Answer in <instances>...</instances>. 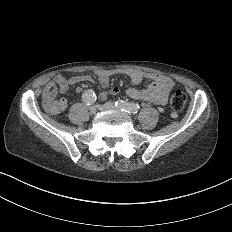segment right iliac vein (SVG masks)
<instances>
[{"mask_svg":"<svg viewBox=\"0 0 232 232\" xmlns=\"http://www.w3.org/2000/svg\"><path fill=\"white\" fill-rule=\"evenodd\" d=\"M90 113L91 114H96L97 113V108L96 107H91L90 108Z\"/></svg>","mask_w":232,"mask_h":232,"instance_id":"right-iliac-vein-1","label":"right iliac vein"}]
</instances>
